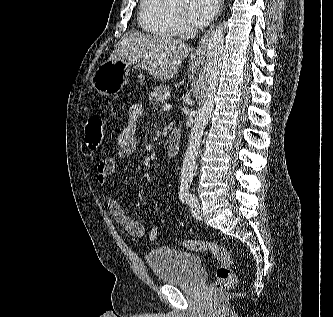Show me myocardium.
I'll list each match as a JSON object with an SVG mask.
<instances>
[{
    "mask_svg": "<svg viewBox=\"0 0 333 317\" xmlns=\"http://www.w3.org/2000/svg\"><path fill=\"white\" fill-rule=\"evenodd\" d=\"M168 9L175 20H180V15L176 14L171 8L168 7Z\"/></svg>",
    "mask_w": 333,
    "mask_h": 317,
    "instance_id": "1",
    "label": "myocardium"
}]
</instances>
